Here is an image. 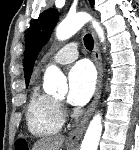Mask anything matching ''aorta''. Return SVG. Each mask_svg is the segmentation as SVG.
<instances>
[{
  "mask_svg": "<svg viewBox=\"0 0 139 150\" xmlns=\"http://www.w3.org/2000/svg\"><path fill=\"white\" fill-rule=\"evenodd\" d=\"M91 21L101 42H104V30L90 14L78 12L68 15L56 28V37L58 40H66L80 30L87 22ZM44 90L47 93L58 92L66 94L68 86L66 78L56 66H50L44 75ZM102 133V115L100 113L90 121L86 130L80 150H97Z\"/></svg>",
  "mask_w": 139,
  "mask_h": 150,
  "instance_id": "obj_1",
  "label": "aorta"
}]
</instances>
